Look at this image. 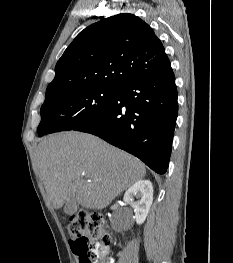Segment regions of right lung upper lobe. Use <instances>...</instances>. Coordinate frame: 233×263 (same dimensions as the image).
Listing matches in <instances>:
<instances>
[{"mask_svg": "<svg viewBox=\"0 0 233 263\" xmlns=\"http://www.w3.org/2000/svg\"><path fill=\"white\" fill-rule=\"evenodd\" d=\"M170 67L152 28L133 14H118L77 35L56 64L46 98L92 86L118 88L162 74Z\"/></svg>", "mask_w": 233, "mask_h": 263, "instance_id": "1", "label": "right lung upper lobe"}]
</instances>
